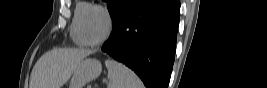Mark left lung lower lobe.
Returning a JSON list of instances; mask_svg holds the SVG:
<instances>
[{
	"label": "left lung lower lobe",
	"mask_w": 267,
	"mask_h": 88,
	"mask_svg": "<svg viewBox=\"0 0 267 88\" xmlns=\"http://www.w3.org/2000/svg\"><path fill=\"white\" fill-rule=\"evenodd\" d=\"M179 16V0H130L102 50L134 70L147 88H167Z\"/></svg>",
	"instance_id": "obj_1"
}]
</instances>
